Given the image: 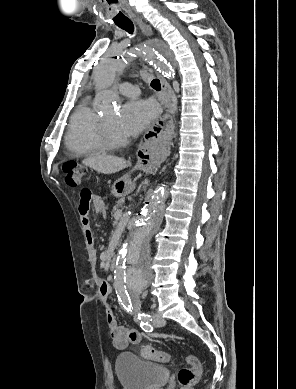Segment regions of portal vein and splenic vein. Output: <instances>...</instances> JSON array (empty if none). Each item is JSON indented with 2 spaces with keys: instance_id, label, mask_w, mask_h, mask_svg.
Returning <instances> with one entry per match:
<instances>
[{
  "instance_id": "portal-vein-and-splenic-vein-1",
  "label": "portal vein and splenic vein",
  "mask_w": 296,
  "mask_h": 389,
  "mask_svg": "<svg viewBox=\"0 0 296 389\" xmlns=\"http://www.w3.org/2000/svg\"><path fill=\"white\" fill-rule=\"evenodd\" d=\"M121 216H122V210H120V211H118V212L116 213L115 219H116V220H119V219L121 218Z\"/></svg>"
}]
</instances>
